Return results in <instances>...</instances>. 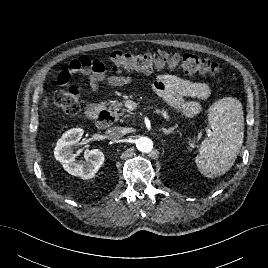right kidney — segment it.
<instances>
[{
    "label": "right kidney",
    "mask_w": 268,
    "mask_h": 268,
    "mask_svg": "<svg viewBox=\"0 0 268 268\" xmlns=\"http://www.w3.org/2000/svg\"><path fill=\"white\" fill-rule=\"evenodd\" d=\"M83 133L82 128L66 131L56 144L54 156L69 174L86 180L93 178L103 165L104 154L98 149L87 150L84 152L86 161L79 163L77 154L73 153V146L81 140Z\"/></svg>",
    "instance_id": "obj_1"
}]
</instances>
